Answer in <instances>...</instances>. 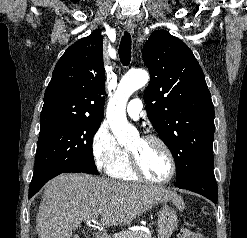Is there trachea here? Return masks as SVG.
<instances>
[{
    "label": "trachea",
    "mask_w": 247,
    "mask_h": 238,
    "mask_svg": "<svg viewBox=\"0 0 247 238\" xmlns=\"http://www.w3.org/2000/svg\"><path fill=\"white\" fill-rule=\"evenodd\" d=\"M119 57L124 66H128L131 61V36L126 31L119 45Z\"/></svg>",
    "instance_id": "trachea-1"
}]
</instances>
